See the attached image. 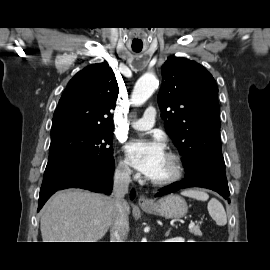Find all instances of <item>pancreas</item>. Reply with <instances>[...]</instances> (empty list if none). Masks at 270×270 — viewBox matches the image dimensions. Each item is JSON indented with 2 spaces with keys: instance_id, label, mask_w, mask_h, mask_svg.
Listing matches in <instances>:
<instances>
[{
  "instance_id": "pancreas-1",
  "label": "pancreas",
  "mask_w": 270,
  "mask_h": 270,
  "mask_svg": "<svg viewBox=\"0 0 270 270\" xmlns=\"http://www.w3.org/2000/svg\"><path fill=\"white\" fill-rule=\"evenodd\" d=\"M189 231L194 235L202 236V232L200 230V227H198V226H194V227L190 228Z\"/></svg>"
}]
</instances>
